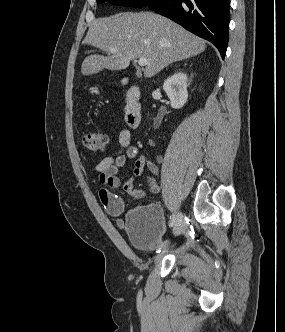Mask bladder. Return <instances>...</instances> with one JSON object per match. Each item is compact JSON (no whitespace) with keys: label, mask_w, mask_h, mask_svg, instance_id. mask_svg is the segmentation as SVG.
Segmentation results:
<instances>
[{"label":"bladder","mask_w":285,"mask_h":332,"mask_svg":"<svg viewBox=\"0 0 285 332\" xmlns=\"http://www.w3.org/2000/svg\"><path fill=\"white\" fill-rule=\"evenodd\" d=\"M124 229L131 245L139 251L155 256L169 251L177 255L183 252L180 242L164 237V218L157 204H144L130 210L125 217Z\"/></svg>","instance_id":"bladder-1"}]
</instances>
